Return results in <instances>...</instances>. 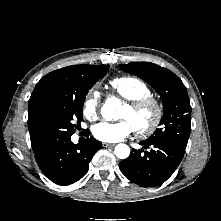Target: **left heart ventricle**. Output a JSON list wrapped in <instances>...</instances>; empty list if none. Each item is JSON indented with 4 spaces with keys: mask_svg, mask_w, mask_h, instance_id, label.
<instances>
[{
    "mask_svg": "<svg viewBox=\"0 0 221 221\" xmlns=\"http://www.w3.org/2000/svg\"><path fill=\"white\" fill-rule=\"evenodd\" d=\"M120 117L131 122L133 127H142L149 123L152 117L151 110H145L138 114H133L126 106L120 110Z\"/></svg>",
    "mask_w": 221,
    "mask_h": 221,
    "instance_id": "left-heart-ventricle-1",
    "label": "left heart ventricle"
}]
</instances>
